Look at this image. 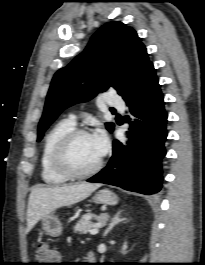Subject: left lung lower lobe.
<instances>
[{
	"label": "left lung lower lobe",
	"mask_w": 205,
	"mask_h": 265,
	"mask_svg": "<svg viewBox=\"0 0 205 265\" xmlns=\"http://www.w3.org/2000/svg\"><path fill=\"white\" fill-rule=\"evenodd\" d=\"M136 117L129 149L113 142V156L108 165L88 182L119 186L146 195L156 194L162 186L161 160L166 151L167 113L164 97L153 66L143 74L134 90L123 98ZM133 125V122H130Z\"/></svg>",
	"instance_id": "left-lung-lower-lobe-1"
}]
</instances>
